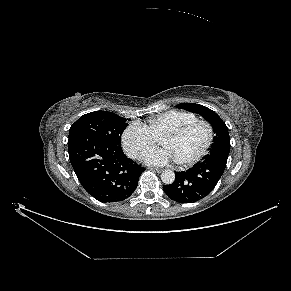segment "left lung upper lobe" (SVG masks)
<instances>
[{
	"instance_id": "obj_1",
	"label": "left lung upper lobe",
	"mask_w": 291,
	"mask_h": 291,
	"mask_svg": "<svg viewBox=\"0 0 291 291\" xmlns=\"http://www.w3.org/2000/svg\"><path fill=\"white\" fill-rule=\"evenodd\" d=\"M176 107L188 110L193 113H197L212 125L215 133L214 143L212 147L221 143H230L227 126L213 110L195 103H181L178 104Z\"/></svg>"
}]
</instances>
